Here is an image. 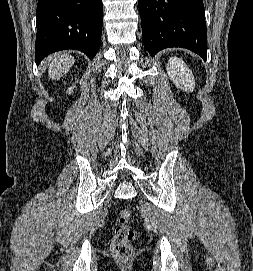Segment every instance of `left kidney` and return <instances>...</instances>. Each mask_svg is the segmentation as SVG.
Segmentation results:
<instances>
[{
    "mask_svg": "<svg viewBox=\"0 0 253 271\" xmlns=\"http://www.w3.org/2000/svg\"><path fill=\"white\" fill-rule=\"evenodd\" d=\"M167 74L177 88L186 92H192L195 88V80L192 71L177 57H171L166 65Z\"/></svg>",
    "mask_w": 253,
    "mask_h": 271,
    "instance_id": "1",
    "label": "left kidney"
}]
</instances>
